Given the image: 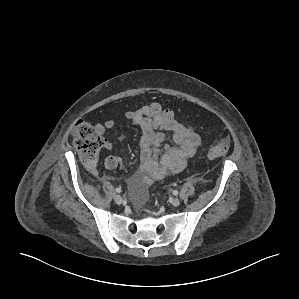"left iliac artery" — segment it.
I'll use <instances>...</instances> for the list:
<instances>
[{
  "label": "left iliac artery",
  "mask_w": 299,
  "mask_h": 299,
  "mask_svg": "<svg viewBox=\"0 0 299 299\" xmlns=\"http://www.w3.org/2000/svg\"><path fill=\"white\" fill-rule=\"evenodd\" d=\"M173 195H178V191H177V190H174V191H173Z\"/></svg>",
  "instance_id": "1"
}]
</instances>
